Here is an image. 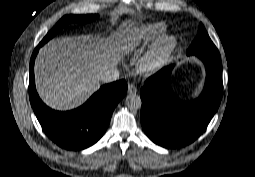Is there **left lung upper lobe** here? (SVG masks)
<instances>
[{
    "instance_id": "1",
    "label": "left lung upper lobe",
    "mask_w": 255,
    "mask_h": 177,
    "mask_svg": "<svg viewBox=\"0 0 255 177\" xmlns=\"http://www.w3.org/2000/svg\"><path fill=\"white\" fill-rule=\"evenodd\" d=\"M201 53H219L202 24L199 25L197 37L188 48L187 55H197Z\"/></svg>"
}]
</instances>
